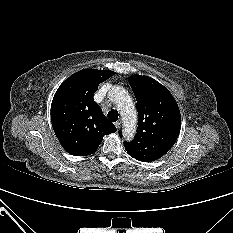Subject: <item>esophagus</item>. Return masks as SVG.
Here are the masks:
<instances>
[{
    "mask_svg": "<svg viewBox=\"0 0 233 233\" xmlns=\"http://www.w3.org/2000/svg\"><path fill=\"white\" fill-rule=\"evenodd\" d=\"M120 125H121V122H120V121L115 122V126H116L117 129L120 128Z\"/></svg>",
    "mask_w": 233,
    "mask_h": 233,
    "instance_id": "34e87169",
    "label": "esophagus"
}]
</instances>
